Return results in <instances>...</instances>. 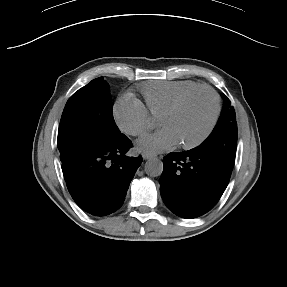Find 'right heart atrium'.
<instances>
[{
	"mask_svg": "<svg viewBox=\"0 0 287 287\" xmlns=\"http://www.w3.org/2000/svg\"><path fill=\"white\" fill-rule=\"evenodd\" d=\"M114 116L120 128L131 136H142L153 126V119L145 105L130 93L115 102Z\"/></svg>",
	"mask_w": 287,
	"mask_h": 287,
	"instance_id": "right-heart-atrium-1",
	"label": "right heart atrium"
}]
</instances>
